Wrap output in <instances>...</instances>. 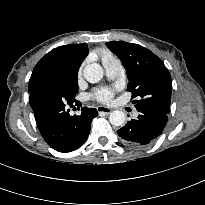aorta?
Listing matches in <instances>:
<instances>
[{
  "mask_svg": "<svg viewBox=\"0 0 205 205\" xmlns=\"http://www.w3.org/2000/svg\"><path fill=\"white\" fill-rule=\"evenodd\" d=\"M83 75L88 82L97 83L103 78L104 72L99 64L92 63L84 67ZM125 120L126 117L123 111L115 110L109 115V121L114 126L124 125Z\"/></svg>",
  "mask_w": 205,
  "mask_h": 205,
  "instance_id": "762f6f07",
  "label": "aorta"
}]
</instances>
